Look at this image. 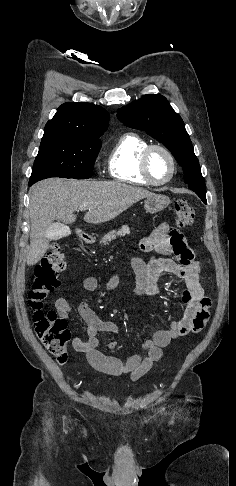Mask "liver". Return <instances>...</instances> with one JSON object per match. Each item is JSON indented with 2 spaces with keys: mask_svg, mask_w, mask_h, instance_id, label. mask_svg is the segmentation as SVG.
<instances>
[{
  "mask_svg": "<svg viewBox=\"0 0 236 486\" xmlns=\"http://www.w3.org/2000/svg\"><path fill=\"white\" fill-rule=\"evenodd\" d=\"M152 195L145 189L111 181L50 178L36 183L30 190L31 231L27 264L34 265L45 255L52 239L49 230L54 220L71 224L76 220L74 212L85 208L89 211L84 215V221L92 224L108 222Z\"/></svg>",
  "mask_w": 236,
  "mask_h": 486,
  "instance_id": "1",
  "label": "liver"
}]
</instances>
